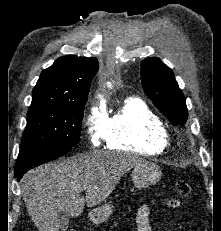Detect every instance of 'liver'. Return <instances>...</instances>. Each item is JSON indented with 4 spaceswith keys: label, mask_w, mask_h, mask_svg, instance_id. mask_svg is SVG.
<instances>
[{
    "label": "liver",
    "mask_w": 221,
    "mask_h": 231,
    "mask_svg": "<svg viewBox=\"0 0 221 231\" xmlns=\"http://www.w3.org/2000/svg\"><path fill=\"white\" fill-rule=\"evenodd\" d=\"M143 161L126 153L93 151L39 166L21 180L27 211L39 231H58L61 213L79 216L85 203L100 204L123 174Z\"/></svg>",
    "instance_id": "obj_1"
}]
</instances>
